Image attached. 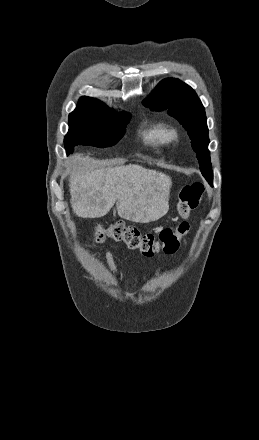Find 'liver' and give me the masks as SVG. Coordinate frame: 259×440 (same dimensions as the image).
<instances>
[{
	"mask_svg": "<svg viewBox=\"0 0 259 440\" xmlns=\"http://www.w3.org/2000/svg\"><path fill=\"white\" fill-rule=\"evenodd\" d=\"M70 170L71 205L79 217H103L116 203L121 218L149 223L169 210L172 181L164 173L136 164L99 167L81 154L72 156Z\"/></svg>",
	"mask_w": 259,
	"mask_h": 440,
	"instance_id": "6515ba94",
	"label": "liver"
}]
</instances>
